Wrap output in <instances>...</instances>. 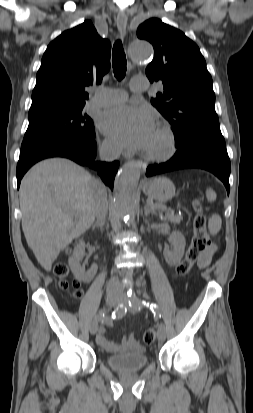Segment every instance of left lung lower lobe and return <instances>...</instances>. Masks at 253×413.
Masks as SVG:
<instances>
[{"mask_svg": "<svg viewBox=\"0 0 253 413\" xmlns=\"http://www.w3.org/2000/svg\"><path fill=\"white\" fill-rule=\"evenodd\" d=\"M219 128V123L207 121L194 126L180 139L175 138V155L166 163L148 166L146 176L178 169H204L216 175L229 194L230 159Z\"/></svg>", "mask_w": 253, "mask_h": 413, "instance_id": "obj_1", "label": "left lung lower lobe"}]
</instances>
